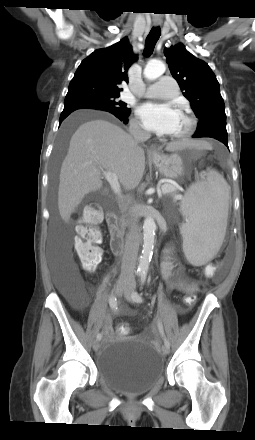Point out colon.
<instances>
[{
  "instance_id": "5ec220e1",
  "label": "colon",
  "mask_w": 255,
  "mask_h": 440,
  "mask_svg": "<svg viewBox=\"0 0 255 440\" xmlns=\"http://www.w3.org/2000/svg\"><path fill=\"white\" fill-rule=\"evenodd\" d=\"M102 216L96 207H88L80 218L76 228L75 251L81 265L86 269H94L101 261L102 251L98 244L102 241V232L98 227ZM187 305H192L196 301L194 294H189L184 299ZM121 334L129 332V326L122 324L119 327Z\"/></svg>"
}]
</instances>
